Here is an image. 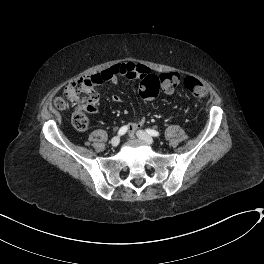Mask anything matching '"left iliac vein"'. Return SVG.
<instances>
[{
    "mask_svg": "<svg viewBox=\"0 0 264 264\" xmlns=\"http://www.w3.org/2000/svg\"><path fill=\"white\" fill-rule=\"evenodd\" d=\"M136 135L139 139L143 140L145 143L149 145L154 144V139L150 135H148L146 132L139 130L136 132Z\"/></svg>",
    "mask_w": 264,
    "mask_h": 264,
    "instance_id": "left-iliac-vein-1",
    "label": "left iliac vein"
}]
</instances>
